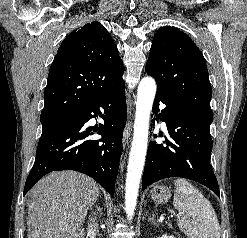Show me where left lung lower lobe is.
Returning a JSON list of instances; mask_svg holds the SVG:
<instances>
[{
    "instance_id": "left-lung-lower-lobe-1",
    "label": "left lung lower lobe",
    "mask_w": 247,
    "mask_h": 238,
    "mask_svg": "<svg viewBox=\"0 0 247 238\" xmlns=\"http://www.w3.org/2000/svg\"><path fill=\"white\" fill-rule=\"evenodd\" d=\"M160 103L166 107L157 119L166 122L172 142L166 140V145L150 142L142 190L164 178L182 177L205 185L220 197L217 179L209 162L212 151L211 123L195 112L168 101L159 92L153 105L155 115L159 112Z\"/></svg>"
}]
</instances>
